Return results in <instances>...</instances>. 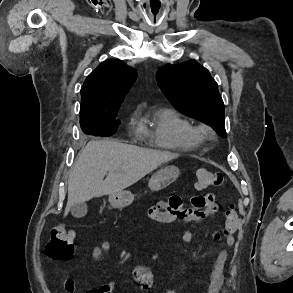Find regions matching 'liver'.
<instances>
[{
    "label": "liver",
    "instance_id": "liver-1",
    "mask_svg": "<svg viewBox=\"0 0 293 293\" xmlns=\"http://www.w3.org/2000/svg\"><path fill=\"white\" fill-rule=\"evenodd\" d=\"M178 156L116 141H90L71 169L64 216L74 204L121 192Z\"/></svg>",
    "mask_w": 293,
    "mask_h": 293
}]
</instances>
